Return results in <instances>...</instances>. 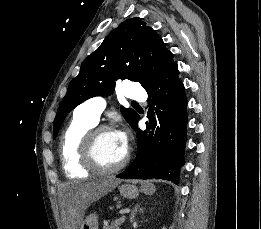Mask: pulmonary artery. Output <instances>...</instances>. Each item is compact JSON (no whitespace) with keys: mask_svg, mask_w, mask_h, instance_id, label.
I'll return each mask as SVG.
<instances>
[{"mask_svg":"<svg viewBox=\"0 0 261 229\" xmlns=\"http://www.w3.org/2000/svg\"><path fill=\"white\" fill-rule=\"evenodd\" d=\"M124 89H129L125 92L126 97L130 99H146V89H142V84H124ZM144 103L143 101L141 102ZM107 101L102 96L93 97L80 105V110L83 115L94 124H98L102 112L105 110Z\"/></svg>","mask_w":261,"mask_h":229,"instance_id":"pulmonary-artery-1","label":"pulmonary artery"}]
</instances>
